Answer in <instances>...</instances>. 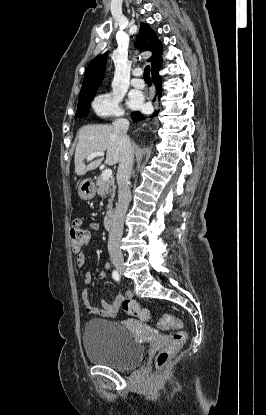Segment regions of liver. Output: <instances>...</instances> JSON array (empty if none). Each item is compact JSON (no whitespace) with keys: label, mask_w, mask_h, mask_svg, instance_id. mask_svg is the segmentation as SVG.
Wrapping results in <instances>:
<instances>
[{"label":"liver","mask_w":266,"mask_h":415,"mask_svg":"<svg viewBox=\"0 0 266 415\" xmlns=\"http://www.w3.org/2000/svg\"><path fill=\"white\" fill-rule=\"evenodd\" d=\"M96 151H107L105 160L107 165H115L119 162L120 150L112 125H85L79 129L74 157L75 173L78 176L96 169L101 164L103 158L94 160L87 166L84 163L85 158Z\"/></svg>","instance_id":"liver-1"}]
</instances>
